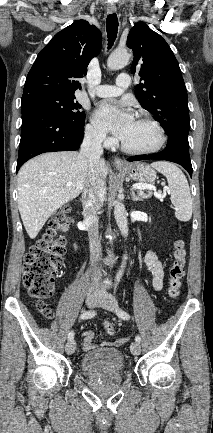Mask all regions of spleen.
I'll list each match as a JSON object with an SVG mask.
<instances>
[{"label":"spleen","instance_id":"3e777b00","mask_svg":"<svg viewBox=\"0 0 213 433\" xmlns=\"http://www.w3.org/2000/svg\"><path fill=\"white\" fill-rule=\"evenodd\" d=\"M151 166L167 178L176 218L183 222L189 221L192 217V199L183 172L176 165L165 161L154 162Z\"/></svg>","mask_w":213,"mask_h":433}]
</instances>
